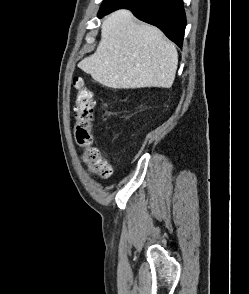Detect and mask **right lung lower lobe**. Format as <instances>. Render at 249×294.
Listing matches in <instances>:
<instances>
[{
  "label": "right lung lower lobe",
  "mask_w": 249,
  "mask_h": 294,
  "mask_svg": "<svg viewBox=\"0 0 249 294\" xmlns=\"http://www.w3.org/2000/svg\"><path fill=\"white\" fill-rule=\"evenodd\" d=\"M130 9L142 21L155 25L180 48L183 44L186 17L182 0H122L98 14L99 18L117 9Z\"/></svg>",
  "instance_id": "obj_1"
}]
</instances>
